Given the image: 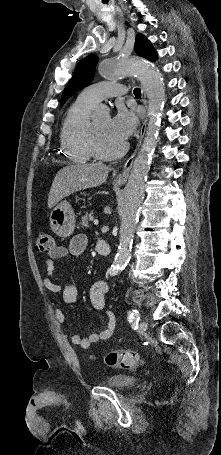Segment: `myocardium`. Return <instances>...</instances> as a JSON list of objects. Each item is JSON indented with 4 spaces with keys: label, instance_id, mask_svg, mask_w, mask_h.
I'll return each mask as SVG.
<instances>
[{
    "label": "myocardium",
    "instance_id": "f54148a6",
    "mask_svg": "<svg viewBox=\"0 0 221 455\" xmlns=\"http://www.w3.org/2000/svg\"><path fill=\"white\" fill-rule=\"evenodd\" d=\"M87 143H88V147H89L91 155L100 160H112V159L118 158V157L122 156L128 149V143L123 142L117 149H115L113 151H110V152L102 151L99 148V145L97 142V134H96V130H95L93 122H91L88 126Z\"/></svg>",
    "mask_w": 221,
    "mask_h": 455
}]
</instances>
